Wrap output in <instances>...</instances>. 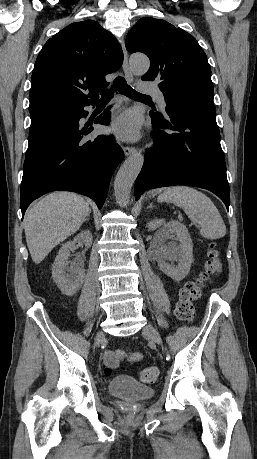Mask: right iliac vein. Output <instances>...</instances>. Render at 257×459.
<instances>
[{
	"label": "right iliac vein",
	"instance_id": "right-iliac-vein-1",
	"mask_svg": "<svg viewBox=\"0 0 257 459\" xmlns=\"http://www.w3.org/2000/svg\"><path fill=\"white\" fill-rule=\"evenodd\" d=\"M105 338V335H104V332L99 330L96 334V341H97V345H100V343H102V341L104 340Z\"/></svg>",
	"mask_w": 257,
	"mask_h": 459
}]
</instances>
